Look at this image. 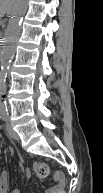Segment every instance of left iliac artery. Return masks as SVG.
I'll return each instance as SVG.
<instances>
[{"label":"left iliac artery","instance_id":"1","mask_svg":"<svg viewBox=\"0 0 103 193\" xmlns=\"http://www.w3.org/2000/svg\"><path fill=\"white\" fill-rule=\"evenodd\" d=\"M1 118H2L4 121H8V118H9L8 113H7V112H3V113L1 114Z\"/></svg>","mask_w":103,"mask_h":193}]
</instances>
